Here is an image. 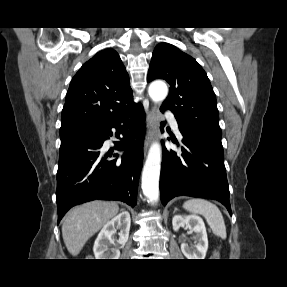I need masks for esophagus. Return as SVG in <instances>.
<instances>
[{"mask_svg": "<svg viewBox=\"0 0 287 287\" xmlns=\"http://www.w3.org/2000/svg\"><path fill=\"white\" fill-rule=\"evenodd\" d=\"M159 119V109L154 105L147 114V135L144 142V153L146 155L148 147L153 139L154 131L156 129L157 121Z\"/></svg>", "mask_w": 287, "mask_h": 287, "instance_id": "obj_1", "label": "esophagus"}]
</instances>
